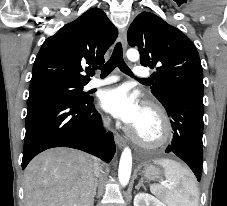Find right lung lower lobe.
<instances>
[{
    "label": "right lung lower lobe",
    "mask_w": 227,
    "mask_h": 206,
    "mask_svg": "<svg viewBox=\"0 0 227 206\" xmlns=\"http://www.w3.org/2000/svg\"><path fill=\"white\" fill-rule=\"evenodd\" d=\"M61 146L111 161L116 150L113 134L105 133L93 98L43 99L28 104L22 169L40 152Z\"/></svg>",
    "instance_id": "1"
}]
</instances>
